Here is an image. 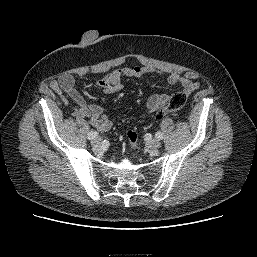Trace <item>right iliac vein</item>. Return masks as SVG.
<instances>
[{
    "instance_id": "1",
    "label": "right iliac vein",
    "mask_w": 257,
    "mask_h": 257,
    "mask_svg": "<svg viewBox=\"0 0 257 257\" xmlns=\"http://www.w3.org/2000/svg\"><path fill=\"white\" fill-rule=\"evenodd\" d=\"M101 144H102V140L99 139V138L94 139V140L92 141V145H93L94 147H99V146H101Z\"/></svg>"
}]
</instances>
